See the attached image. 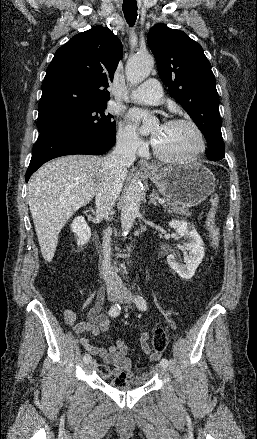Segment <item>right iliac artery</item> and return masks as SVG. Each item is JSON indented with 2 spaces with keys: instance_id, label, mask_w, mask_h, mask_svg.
I'll return each mask as SVG.
<instances>
[{
  "instance_id": "obj_1",
  "label": "right iliac artery",
  "mask_w": 257,
  "mask_h": 439,
  "mask_svg": "<svg viewBox=\"0 0 257 439\" xmlns=\"http://www.w3.org/2000/svg\"><path fill=\"white\" fill-rule=\"evenodd\" d=\"M120 310H121L120 305L119 304H115V305L111 306V308L109 310V315L111 317H116V316L119 315ZM90 360H91V356L89 354H85L84 357H83V361L84 362H88Z\"/></svg>"
}]
</instances>
